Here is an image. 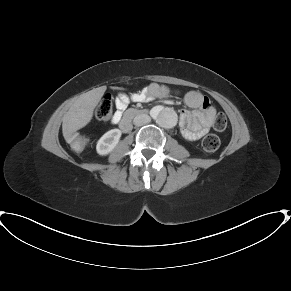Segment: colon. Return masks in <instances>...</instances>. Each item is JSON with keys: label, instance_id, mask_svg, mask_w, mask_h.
I'll return each mask as SVG.
<instances>
[{"label": "colon", "instance_id": "5ec220e1", "mask_svg": "<svg viewBox=\"0 0 291 291\" xmlns=\"http://www.w3.org/2000/svg\"><path fill=\"white\" fill-rule=\"evenodd\" d=\"M113 111V99L110 94L104 95L101 99L97 109L96 117L99 120H108ZM227 126V118L223 113H218L214 119V128L216 130H224ZM86 139L84 136H76L71 140V147L74 150H82L85 147ZM202 147L206 152H215L220 147V139L214 134H209L204 137Z\"/></svg>", "mask_w": 291, "mask_h": 291}]
</instances>
